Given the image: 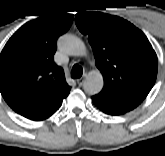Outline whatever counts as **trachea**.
I'll return each instance as SVG.
<instances>
[{
	"instance_id": "1",
	"label": "trachea",
	"mask_w": 165,
	"mask_h": 156,
	"mask_svg": "<svg viewBox=\"0 0 165 156\" xmlns=\"http://www.w3.org/2000/svg\"><path fill=\"white\" fill-rule=\"evenodd\" d=\"M83 74V69L81 66L75 64L73 67H72V70H71V77L73 79H77V78H80Z\"/></svg>"
}]
</instances>
